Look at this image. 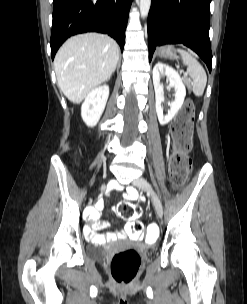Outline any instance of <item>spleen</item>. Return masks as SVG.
Listing matches in <instances>:
<instances>
[{
    "mask_svg": "<svg viewBox=\"0 0 247 304\" xmlns=\"http://www.w3.org/2000/svg\"><path fill=\"white\" fill-rule=\"evenodd\" d=\"M181 55L184 64L187 66V72L193 80V93L200 97L203 95L207 83V75L202 65L186 50L177 49Z\"/></svg>",
    "mask_w": 247,
    "mask_h": 304,
    "instance_id": "1",
    "label": "spleen"
}]
</instances>
